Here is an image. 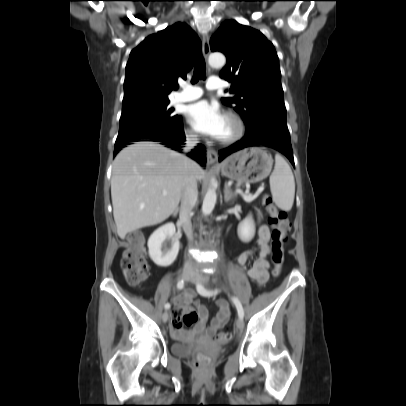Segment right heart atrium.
Masks as SVG:
<instances>
[{"label":"right heart atrium","mask_w":406,"mask_h":406,"mask_svg":"<svg viewBox=\"0 0 406 406\" xmlns=\"http://www.w3.org/2000/svg\"><path fill=\"white\" fill-rule=\"evenodd\" d=\"M185 136L187 139L189 140H196L197 139V134L195 133L194 130L190 129V128H186L184 130Z\"/></svg>","instance_id":"right-heart-atrium-1"}]
</instances>
